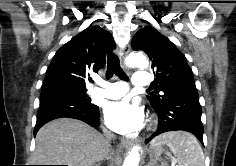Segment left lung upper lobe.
<instances>
[{
	"instance_id": "1",
	"label": "left lung upper lobe",
	"mask_w": 236,
	"mask_h": 166,
	"mask_svg": "<svg viewBox=\"0 0 236 166\" xmlns=\"http://www.w3.org/2000/svg\"><path fill=\"white\" fill-rule=\"evenodd\" d=\"M132 48L144 51L152 60L157 77L151 87L156 94L150 93L147 98L155 110L166 106L177 96L198 94L185 56L154 27L140 29L132 40Z\"/></svg>"
}]
</instances>
